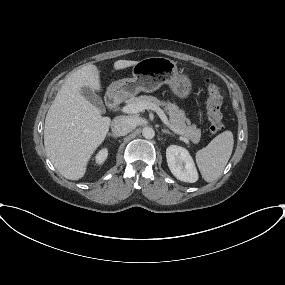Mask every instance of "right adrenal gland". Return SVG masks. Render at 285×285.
<instances>
[{
  "label": "right adrenal gland",
  "mask_w": 285,
  "mask_h": 285,
  "mask_svg": "<svg viewBox=\"0 0 285 285\" xmlns=\"http://www.w3.org/2000/svg\"><path fill=\"white\" fill-rule=\"evenodd\" d=\"M108 137H112V138H115V139L117 138V136H115V135L112 134V133H109V134H108Z\"/></svg>",
  "instance_id": "obj_1"
}]
</instances>
